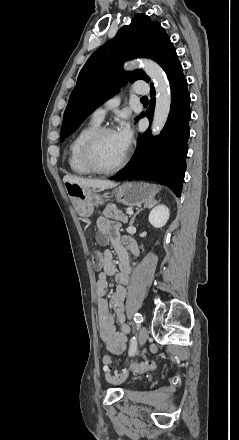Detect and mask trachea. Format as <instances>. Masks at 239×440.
I'll return each instance as SVG.
<instances>
[{
  "label": "trachea",
  "instance_id": "obj_1",
  "mask_svg": "<svg viewBox=\"0 0 239 440\" xmlns=\"http://www.w3.org/2000/svg\"><path fill=\"white\" fill-rule=\"evenodd\" d=\"M142 101H147V97H141Z\"/></svg>",
  "mask_w": 239,
  "mask_h": 440
}]
</instances>
